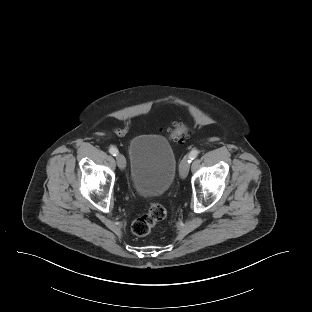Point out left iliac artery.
Returning a JSON list of instances; mask_svg holds the SVG:
<instances>
[{
    "instance_id": "left-iliac-artery-1",
    "label": "left iliac artery",
    "mask_w": 312,
    "mask_h": 312,
    "mask_svg": "<svg viewBox=\"0 0 312 312\" xmlns=\"http://www.w3.org/2000/svg\"><path fill=\"white\" fill-rule=\"evenodd\" d=\"M199 154V151L198 150H192L189 155H188V158H189V163L194 160Z\"/></svg>"
}]
</instances>
